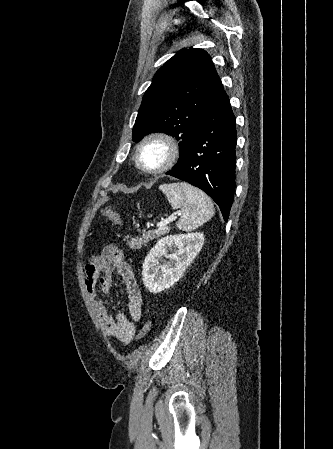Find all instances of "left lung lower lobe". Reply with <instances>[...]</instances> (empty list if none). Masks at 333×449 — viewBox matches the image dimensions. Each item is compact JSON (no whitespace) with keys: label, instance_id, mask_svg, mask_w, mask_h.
I'll return each instance as SVG.
<instances>
[{"label":"left lung lower lobe","instance_id":"obj_1","mask_svg":"<svg viewBox=\"0 0 333 449\" xmlns=\"http://www.w3.org/2000/svg\"><path fill=\"white\" fill-rule=\"evenodd\" d=\"M236 142L235 116L223 90L196 130L182 165L166 172L211 196L225 221L234 200Z\"/></svg>","mask_w":333,"mask_h":449}]
</instances>
